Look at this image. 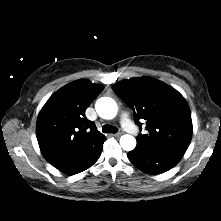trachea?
Segmentation results:
<instances>
[{
	"label": "trachea",
	"mask_w": 221,
	"mask_h": 221,
	"mask_svg": "<svg viewBox=\"0 0 221 221\" xmlns=\"http://www.w3.org/2000/svg\"><path fill=\"white\" fill-rule=\"evenodd\" d=\"M102 131L104 133H116L118 131V129L115 126L106 124V125L103 126Z\"/></svg>",
	"instance_id": "obj_1"
}]
</instances>
